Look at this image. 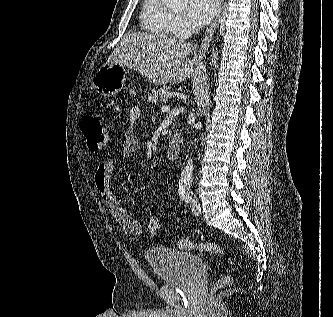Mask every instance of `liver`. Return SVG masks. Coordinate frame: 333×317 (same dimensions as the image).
Masks as SVG:
<instances>
[{"label":"liver","mask_w":333,"mask_h":317,"mask_svg":"<svg viewBox=\"0 0 333 317\" xmlns=\"http://www.w3.org/2000/svg\"><path fill=\"white\" fill-rule=\"evenodd\" d=\"M191 52L192 45L181 38L132 32L117 44L107 64L130 67L156 85L179 84L204 74L200 59H187Z\"/></svg>","instance_id":"6515ba94"}]
</instances>
